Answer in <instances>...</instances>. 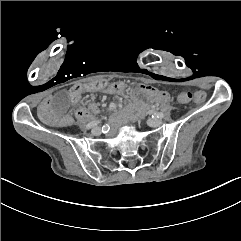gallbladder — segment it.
Listing matches in <instances>:
<instances>
[{"instance_id": "obj_1", "label": "gallbladder", "mask_w": 241, "mask_h": 241, "mask_svg": "<svg viewBox=\"0 0 241 241\" xmlns=\"http://www.w3.org/2000/svg\"><path fill=\"white\" fill-rule=\"evenodd\" d=\"M69 111V96L66 92H56L53 97V112L56 116H65Z\"/></svg>"}]
</instances>
